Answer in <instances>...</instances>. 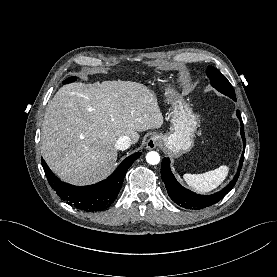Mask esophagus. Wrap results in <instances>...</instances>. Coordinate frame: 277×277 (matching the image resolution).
I'll return each mask as SVG.
<instances>
[{"label":"esophagus","mask_w":277,"mask_h":277,"mask_svg":"<svg viewBox=\"0 0 277 277\" xmlns=\"http://www.w3.org/2000/svg\"><path fill=\"white\" fill-rule=\"evenodd\" d=\"M160 144L161 140L157 136L150 137L146 143L148 149H155L159 147Z\"/></svg>","instance_id":"1"}]
</instances>
